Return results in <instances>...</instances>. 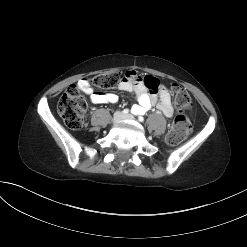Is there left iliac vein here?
Returning <instances> with one entry per match:
<instances>
[{
    "mask_svg": "<svg viewBox=\"0 0 247 247\" xmlns=\"http://www.w3.org/2000/svg\"><path fill=\"white\" fill-rule=\"evenodd\" d=\"M123 118L124 119H133L134 117L131 114H127V115L123 116Z\"/></svg>",
    "mask_w": 247,
    "mask_h": 247,
    "instance_id": "left-iliac-vein-1",
    "label": "left iliac vein"
}]
</instances>
